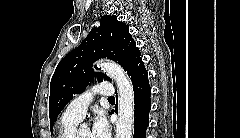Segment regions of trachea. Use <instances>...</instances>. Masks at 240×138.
Listing matches in <instances>:
<instances>
[{"instance_id":"1","label":"trachea","mask_w":240,"mask_h":138,"mask_svg":"<svg viewBox=\"0 0 240 138\" xmlns=\"http://www.w3.org/2000/svg\"><path fill=\"white\" fill-rule=\"evenodd\" d=\"M108 100L113 101V100H115V98L112 96V97H109Z\"/></svg>"}]
</instances>
